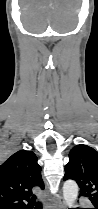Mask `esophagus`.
Returning a JSON list of instances; mask_svg holds the SVG:
<instances>
[{
    "instance_id": "34e87169",
    "label": "esophagus",
    "mask_w": 98,
    "mask_h": 209,
    "mask_svg": "<svg viewBox=\"0 0 98 209\" xmlns=\"http://www.w3.org/2000/svg\"><path fill=\"white\" fill-rule=\"evenodd\" d=\"M49 208L50 209H65V203L62 197L57 196L56 198H53L50 201Z\"/></svg>"
}]
</instances>
